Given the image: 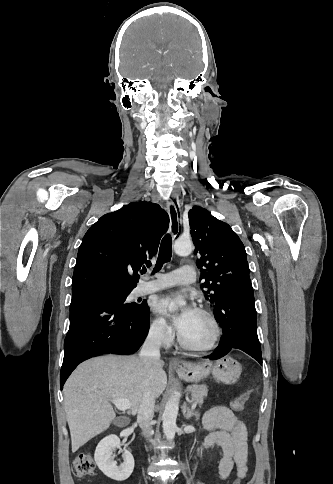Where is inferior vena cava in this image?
Returning <instances> with one entry per match:
<instances>
[{"mask_svg": "<svg viewBox=\"0 0 333 484\" xmlns=\"http://www.w3.org/2000/svg\"><path fill=\"white\" fill-rule=\"evenodd\" d=\"M162 343V330L156 329L149 332L141 350L139 358L143 362H151L160 359V346ZM155 396L153 391L146 389L138 409L137 422L140 424L146 438L153 434L151 421L154 416Z\"/></svg>", "mask_w": 333, "mask_h": 484, "instance_id": "obj_1", "label": "inferior vena cava"}]
</instances>
